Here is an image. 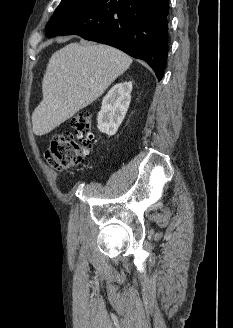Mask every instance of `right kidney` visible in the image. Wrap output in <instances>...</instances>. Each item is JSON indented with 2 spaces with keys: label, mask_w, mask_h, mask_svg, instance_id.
I'll list each match as a JSON object with an SVG mask.
<instances>
[{
  "label": "right kidney",
  "mask_w": 233,
  "mask_h": 328,
  "mask_svg": "<svg viewBox=\"0 0 233 328\" xmlns=\"http://www.w3.org/2000/svg\"><path fill=\"white\" fill-rule=\"evenodd\" d=\"M132 82L114 85L102 100L98 113V130L108 136L114 135L122 123L131 101Z\"/></svg>",
  "instance_id": "right-kidney-1"
}]
</instances>
